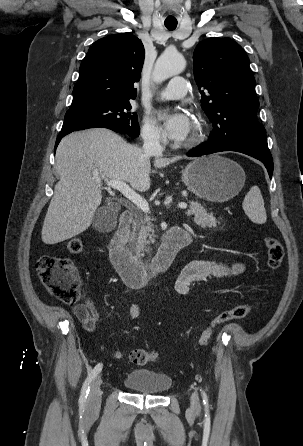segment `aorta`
<instances>
[{
    "instance_id": "aorta-1",
    "label": "aorta",
    "mask_w": 303,
    "mask_h": 446,
    "mask_svg": "<svg viewBox=\"0 0 303 446\" xmlns=\"http://www.w3.org/2000/svg\"><path fill=\"white\" fill-rule=\"evenodd\" d=\"M186 66L184 58L177 52L165 51L156 61L153 81L157 84L180 74Z\"/></svg>"
}]
</instances>
